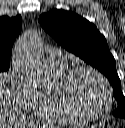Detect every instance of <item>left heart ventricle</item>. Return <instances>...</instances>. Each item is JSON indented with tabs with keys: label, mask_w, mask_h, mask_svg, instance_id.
Wrapping results in <instances>:
<instances>
[{
	"label": "left heart ventricle",
	"mask_w": 125,
	"mask_h": 128,
	"mask_svg": "<svg viewBox=\"0 0 125 128\" xmlns=\"http://www.w3.org/2000/svg\"><path fill=\"white\" fill-rule=\"evenodd\" d=\"M70 97L77 109L85 114L101 112L107 101L102 83L89 72L75 78L70 87Z\"/></svg>",
	"instance_id": "b2bd125f"
}]
</instances>
